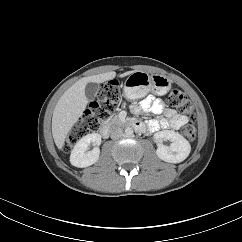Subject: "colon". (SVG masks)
<instances>
[{"instance_id": "obj_1", "label": "colon", "mask_w": 242, "mask_h": 242, "mask_svg": "<svg viewBox=\"0 0 242 242\" xmlns=\"http://www.w3.org/2000/svg\"><path fill=\"white\" fill-rule=\"evenodd\" d=\"M120 95L121 89L117 81L105 83L98 91L96 100L89 104L84 116L70 130L64 142V148L70 150L84 136L97 131L116 108ZM168 104L190 116V122L184 125L181 131L187 140L194 141L196 138L194 108L186 95L181 90L174 89L169 94Z\"/></svg>"}]
</instances>
